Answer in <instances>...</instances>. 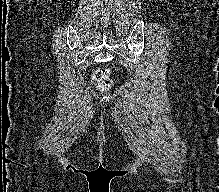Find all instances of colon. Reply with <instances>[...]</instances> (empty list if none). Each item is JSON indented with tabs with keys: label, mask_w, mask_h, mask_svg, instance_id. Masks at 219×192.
Here are the masks:
<instances>
[{
	"label": "colon",
	"mask_w": 219,
	"mask_h": 192,
	"mask_svg": "<svg viewBox=\"0 0 219 192\" xmlns=\"http://www.w3.org/2000/svg\"><path fill=\"white\" fill-rule=\"evenodd\" d=\"M93 80L97 86V88L102 92L109 91L114 83L110 78L109 69L105 67L98 68L93 76Z\"/></svg>",
	"instance_id": "5ec220e1"
}]
</instances>
